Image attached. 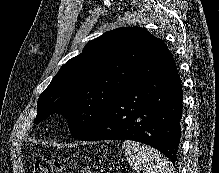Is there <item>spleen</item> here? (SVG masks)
Returning a JSON list of instances; mask_svg holds the SVG:
<instances>
[{
	"label": "spleen",
	"instance_id": "obj_1",
	"mask_svg": "<svg viewBox=\"0 0 219 173\" xmlns=\"http://www.w3.org/2000/svg\"><path fill=\"white\" fill-rule=\"evenodd\" d=\"M132 169L142 173H175L171 163L156 149L126 140L122 144Z\"/></svg>",
	"mask_w": 219,
	"mask_h": 173
}]
</instances>
